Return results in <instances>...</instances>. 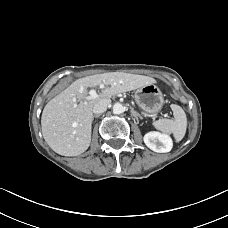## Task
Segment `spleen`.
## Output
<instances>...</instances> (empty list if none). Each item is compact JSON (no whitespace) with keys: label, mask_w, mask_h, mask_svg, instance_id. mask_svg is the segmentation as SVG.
I'll return each mask as SVG.
<instances>
[{"label":"spleen","mask_w":228,"mask_h":228,"mask_svg":"<svg viewBox=\"0 0 228 228\" xmlns=\"http://www.w3.org/2000/svg\"><path fill=\"white\" fill-rule=\"evenodd\" d=\"M171 109L174 119H159L153 122V126L165 134H173L175 140L180 141L183 139L187 128L186 114L179 105L172 104Z\"/></svg>","instance_id":"3e777b00"}]
</instances>
